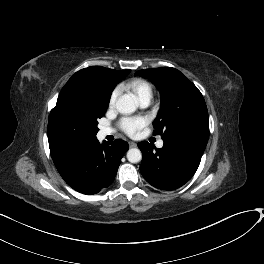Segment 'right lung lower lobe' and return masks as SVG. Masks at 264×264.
Listing matches in <instances>:
<instances>
[{
    "label": "right lung lower lobe",
    "mask_w": 264,
    "mask_h": 264,
    "mask_svg": "<svg viewBox=\"0 0 264 264\" xmlns=\"http://www.w3.org/2000/svg\"><path fill=\"white\" fill-rule=\"evenodd\" d=\"M128 143L116 139L100 144L96 139L54 161L65 182L74 190L92 195L113 182Z\"/></svg>",
    "instance_id": "98d812e1"
}]
</instances>
